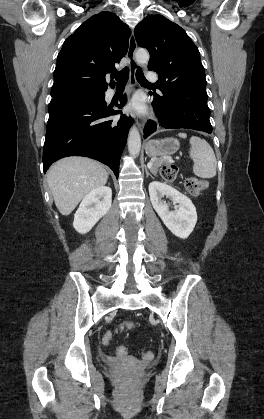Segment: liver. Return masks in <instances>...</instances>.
Masks as SVG:
<instances>
[{
  "instance_id": "1",
  "label": "liver",
  "mask_w": 264,
  "mask_h": 419,
  "mask_svg": "<svg viewBox=\"0 0 264 419\" xmlns=\"http://www.w3.org/2000/svg\"><path fill=\"white\" fill-rule=\"evenodd\" d=\"M108 173L97 161L85 157H67L54 163L47 181L59 212L67 216L79 202L107 183Z\"/></svg>"
}]
</instances>
